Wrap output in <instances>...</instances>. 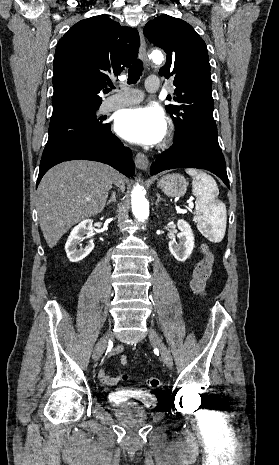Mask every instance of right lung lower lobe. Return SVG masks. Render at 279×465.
<instances>
[{
	"mask_svg": "<svg viewBox=\"0 0 279 465\" xmlns=\"http://www.w3.org/2000/svg\"><path fill=\"white\" fill-rule=\"evenodd\" d=\"M76 159L109 164L127 177L133 176L135 171L131 150L108 130L100 135L76 138L42 157L36 187L51 167L63 161Z\"/></svg>",
	"mask_w": 279,
	"mask_h": 465,
	"instance_id": "98d812e1",
	"label": "right lung lower lobe"
}]
</instances>
